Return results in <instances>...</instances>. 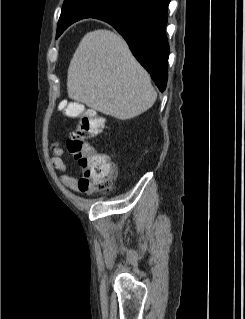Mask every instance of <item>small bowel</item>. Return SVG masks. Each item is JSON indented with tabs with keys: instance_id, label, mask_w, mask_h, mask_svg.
Wrapping results in <instances>:
<instances>
[{
	"instance_id": "c3829d8e",
	"label": "small bowel",
	"mask_w": 245,
	"mask_h": 319,
	"mask_svg": "<svg viewBox=\"0 0 245 319\" xmlns=\"http://www.w3.org/2000/svg\"><path fill=\"white\" fill-rule=\"evenodd\" d=\"M51 151H52V158H51V163L52 165L63 172L61 175V182L63 183L64 186L67 188H70L71 190L75 192H79V186H78V179L70 174L67 173V167L66 164L63 160V155H64V150L61 147L59 142H55L51 146Z\"/></svg>"
}]
</instances>
